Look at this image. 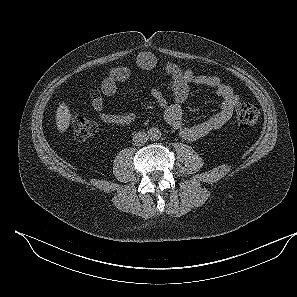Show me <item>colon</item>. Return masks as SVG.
<instances>
[{"mask_svg": "<svg viewBox=\"0 0 297 297\" xmlns=\"http://www.w3.org/2000/svg\"><path fill=\"white\" fill-rule=\"evenodd\" d=\"M259 116L260 108L253 103H242L236 110L237 121L242 127L253 126L258 121ZM70 121L74 136L78 140L90 138L96 132V123L84 115H72Z\"/></svg>", "mask_w": 297, "mask_h": 297, "instance_id": "1", "label": "colon"}]
</instances>
